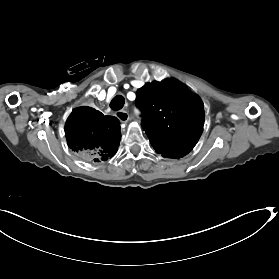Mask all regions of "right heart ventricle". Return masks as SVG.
<instances>
[{
    "label": "right heart ventricle",
    "instance_id": "obj_1",
    "mask_svg": "<svg viewBox=\"0 0 279 279\" xmlns=\"http://www.w3.org/2000/svg\"><path fill=\"white\" fill-rule=\"evenodd\" d=\"M103 58V56H97L96 58H95V60H100V59H102ZM126 99L128 100V101H131L134 97H135V95L133 94V93H131V92H129V93H127L126 94Z\"/></svg>",
    "mask_w": 279,
    "mask_h": 279
}]
</instances>
